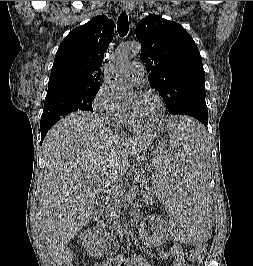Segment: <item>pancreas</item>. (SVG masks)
Segmentation results:
<instances>
[{"label":"pancreas","mask_w":253,"mask_h":266,"mask_svg":"<svg viewBox=\"0 0 253 266\" xmlns=\"http://www.w3.org/2000/svg\"><path fill=\"white\" fill-rule=\"evenodd\" d=\"M139 182L140 184V194L142 201L144 202H151L153 200V194L146 186V183L148 182L147 175L143 172H140L138 174ZM118 191L120 192L119 195L117 194H109V197L107 198V202L109 204L105 207V209H102L99 211V213L104 212V219L106 220V226L113 228L115 224L118 222L120 208L123 206H126L128 203H130V197L132 194L138 193V188L133 187L130 192H125L122 188H118Z\"/></svg>","instance_id":"pancreas-1"}]
</instances>
